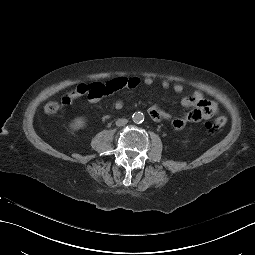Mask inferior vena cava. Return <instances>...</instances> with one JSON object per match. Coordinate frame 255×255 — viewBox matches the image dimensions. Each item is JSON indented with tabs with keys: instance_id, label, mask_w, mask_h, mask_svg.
I'll return each instance as SVG.
<instances>
[{
	"instance_id": "inferior-vena-cava-1",
	"label": "inferior vena cava",
	"mask_w": 255,
	"mask_h": 255,
	"mask_svg": "<svg viewBox=\"0 0 255 255\" xmlns=\"http://www.w3.org/2000/svg\"><path fill=\"white\" fill-rule=\"evenodd\" d=\"M128 123L127 119L121 118L116 121V126H124Z\"/></svg>"
}]
</instances>
